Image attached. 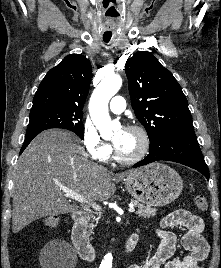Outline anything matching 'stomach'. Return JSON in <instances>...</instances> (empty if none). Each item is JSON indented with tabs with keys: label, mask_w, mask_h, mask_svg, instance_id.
I'll use <instances>...</instances> for the list:
<instances>
[{
	"label": "stomach",
	"mask_w": 221,
	"mask_h": 268,
	"mask_svg": "<svg viewBox=\"0 0 221 268\" xmlns=\"http://www.w3.org/2000/svg\"><path fill=\"white\" fill-rule=\"evenodd\" d=\"M125 184L130 195L147 206L168 205L183 189L180 175L162 163H152L130 172Z\"/></svg>",
	"instance_id": "1"
}]
</instances>
